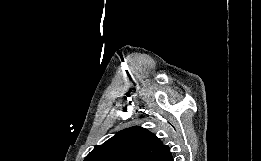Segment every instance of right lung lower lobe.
<instances>
[{"mask_svg": "<svg viewBox=\"0 0 261 161\" xmlns=\"http://www.w3.org/2000/svg\"><path fill=\"white\" fill-rule=\"evenodd\" d=\"M167 161H173V158L171 157L169 160H167Z\"/></svg>", "mask_w": 261, "mask_h": 161, "instance_id": "right-lung-lower-lobe-1", "label": "right lung lower lobe"}]
</instances>
